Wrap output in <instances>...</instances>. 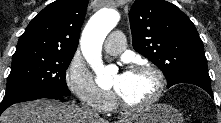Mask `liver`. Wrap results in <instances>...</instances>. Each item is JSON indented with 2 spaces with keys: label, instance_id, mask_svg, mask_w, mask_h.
<instances>
[{
  "label": "liver",
  "instance_id": "1",
  "mask_svg": "<svg viewBox=\"0 0 221 123\" xmlns=\"http://www.w3.org/2000/svg\"><path fill=\"white\" fill-rule=\"evenodd\" d=\"M1 123H109L91 116L82 108L54 100H37L9 107L0 117ZM123 123V122H120Z\"/></svg>",
  "mask_w": 221,
  "mask_h": 123
}]
</instances>
